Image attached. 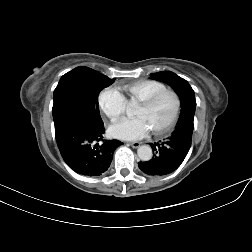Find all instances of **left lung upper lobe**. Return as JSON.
Returning <instances> with one entry per match:
<instances>
[{
  "label": "left lung upper lobe",
  "mask_w": 252,
  "mask_h": 252,
  "mask_svg": "<svg viewBox=\"0 0 252 252\" xmlns=\"http://www.w3.org/2000/svg\"><path fill=\"white\" fill-rule=\"evenodd\" d=\"M151 77L156 80L164 81L178 94L182 106L179 120H182V118H191L193 120L196 100L194 91L189 83L171 71L152 73Z\"/></svg>",
  "instance_id": "1"
}]
</instances>
